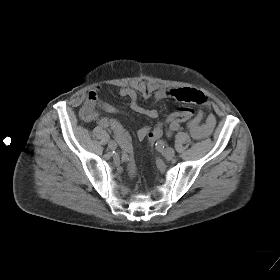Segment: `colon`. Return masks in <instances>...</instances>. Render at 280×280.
I'll return each instance as SVG.
<instances>
[{
	"label": "colon",
	"instance_id": "1",
	"mask_svg": "<svg viewBox=\"0 0 280 280\" xmlns=\"http://www.w3.org/2000/svg\"><path fill=\"white\" fill-rule=\"evenodd\" d=\"M193 115V110L188 107H181L176 112L170 114L163 123L155 126L148 133V142L153 146L162 136L165 126L171 125L173 122H185Z\"/></svg>",
	"mask_w": 280,
	"mask_h": 280
}]
</instances>
